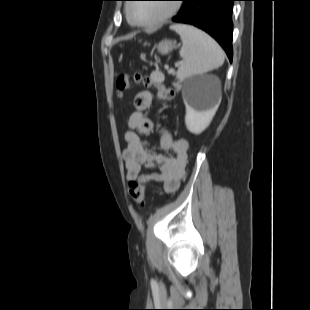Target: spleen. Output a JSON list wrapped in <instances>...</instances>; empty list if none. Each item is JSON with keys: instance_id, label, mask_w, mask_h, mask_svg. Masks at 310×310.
Wrapping results in <instances>:
<instances>
[{"instance_id": "1", "label": "spleen", "mask_w": 310, "mask_h": 310, "mask_svg": "<svg viewBox=\"0 0 310 310\" xmlns=\"http://www.w3.org/2000/svg\"><path fill=\"white\" fill-rule=\"evenodd\" d=\"M171 29L179 34L183 43L180 50L183 61L177 71L180 80L207 73L224 63V51L204 31L186 24H175Z\"/></svg>"}]
</instances>
